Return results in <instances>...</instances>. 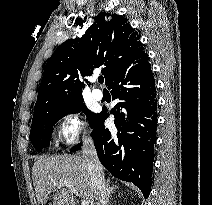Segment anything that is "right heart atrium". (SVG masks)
<instances>
[{"instance_id": "obj_1", "label": "right heart atrium", "mask_w": 212, "mask_h": 205, "mask_svg": "<svg viewBox=\"0 0 212 205\" xmlns=\"http://www.w3.org/2000/svg\"><path fill=\"white\" fill-rule=\"evenodd\" d=\"M57 134L65 145H74L88 138L86 122L79 112L69 111L60 118Z\"/></svg>"}]
</instances>
